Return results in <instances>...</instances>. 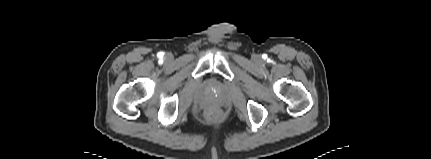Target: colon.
<instances>
[{"mask_svg":"<svg viewBox=\"0 0 431 159\" xmlns=\"http://www.w3.org/2000/svg\"><path fill=\"white\" fill-rule=\"evenodd\" d=\"M206 117L210 120V121H217L220 118V114L218 111L216 110H208L206 113Z\"/></svg>","mask_w":431,"mask_h":159,"instance_id":"5ec220e1","label":"colon"}]
</instances>
